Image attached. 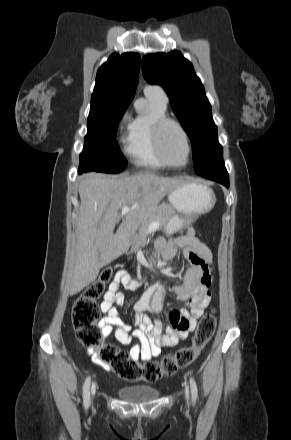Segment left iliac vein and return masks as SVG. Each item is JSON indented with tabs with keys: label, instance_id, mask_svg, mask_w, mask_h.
Segmentation results:
<instances>
[{
	"label": "left iliac vein",
	"instance_id": "1",
	"mask_svg": "<svg viewBox=\"0 0 291 440\" xmlns=\"http://www.w3.org/2000/svg\"><path fill=\"white\" fill-rule=\"evenodd\" d=\"M185 392H186V396H188V388H186V391H185Z\"/></svg>",
	"mask_w": 291,
	"mask_h": 440
}]
</instances>
